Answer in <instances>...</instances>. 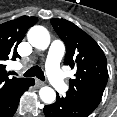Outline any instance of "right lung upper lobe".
<instances>
[{"label":"right lung upper lobe","instance_id":"right-lung-upper-lobe-1","mask_svg":"<svg viewBox=\"0 0 117 117\" xmlns=\"http://www.w3.org/2000/svg\"><path fill=\"white\" fill-rule=\"evenodd\" d=\"M37 21V17L22 16L0 25V105L27 81V79L16 77L9 79L4 61L9 58L12 60L21 58L18 55L17 47L27 30L35 25Z\"/></svg>","mask_w":117,"mask_h":117}]
</instances>
